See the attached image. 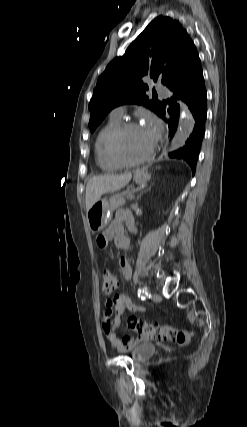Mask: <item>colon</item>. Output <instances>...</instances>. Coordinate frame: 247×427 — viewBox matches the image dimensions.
Returning <instances> with one entry per match:
<instances>
[{"instance_id":"5ec220e1","label":"colon","mask_w":247,"mask_h":427,"mask_svg":"<svg viewBox=\"0 0 247 427\" xmlns=\"http://www.w3.org/2000/svg\"><path fill=\"white\" fill-rule=\"evenodd\" d=\"M101 280L103 293L111 294L117 289L118 280L113 272L104 270ZM128 327L145 339L173 341L178 345H185L192 338V332L188 330H181L170 325H153L136 317L128 319Z\"/></svg>"}]
</instances>
